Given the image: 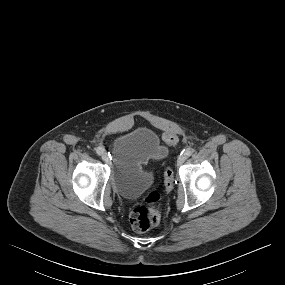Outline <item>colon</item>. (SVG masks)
<instances>
[{
	"label": "colon",
	"mask_w": 285,
	"mask_h": 285,
	"mask_svg": "<svg viewBox=\"0 0 285 285\" xmlns=\"http://www.w3.org/2000/svg\"><path fill=\"white\" fill-rule=\"evenodd\" d=\"M178 138L173 133L165 135L164 143L168 146H173L177 143ZM174 184L173 171L168 168L164 173V187L166 190H171ZM160 198V193L157 191L150 192L143 205L136 206L130 213V223L132 228L137 232H146L159 224L160 214L150 205L157 202Z\"/></svg>",
	"instance_id": "1"
}]
</instances>
